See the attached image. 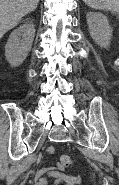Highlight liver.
Returning a JSON list of instances; mask_svg holds the SVG:
<instances>
[{
    "mask_svg": "<svg viewBox=\"0 0 119 185\" xmlns=\"http://www.w3.org/2000/svg\"><path fill=\"white\" fill-rule=\"evenodd\" d=\"M39 0H0V39L37 8Z\"/></svg>",
    "mask_w": 119,
    "mask_h": 185,
    "instance_id": "obj_1",
    "label": "liver"
}]
</instances>
